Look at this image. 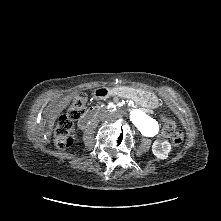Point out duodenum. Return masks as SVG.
Masks as SVG:
<instances>
[{"label":"duodenum","instance_id":"obj_1","mask_svg":"<svg viewBox=\"0 0 221 221\" xmlns=\"http://www.w3.org/2000/svg\"><path fill=\"white\" fill-rule=\"evenodd\" d=\"M128 93L129 90L126 88H116L113 92V94L115 95H126ZM95 95L100 100H106L110 97L111 92L106 87H100L96 90ZM101 111H104V109L100 106L89 108L79 119V127L81 129H86Z\"/></svg>","mask_w":221,"mask_h":221}]
</instances>
